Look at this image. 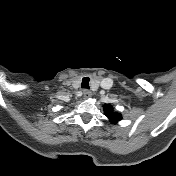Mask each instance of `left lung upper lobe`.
<instances>
[{
  "instance_id": "left-lung-upper-lobe-1",
  "label": "left lung upper lobe",
  "mask_w": 176,
  "mask_h": 176,
  "mask_svg": "<svg viewBox=\"0 0 176 176\" xmlns=\"http://www.w3.org/2000/svg\"><path fill=\"white\" fill-rule=\"evenodd\" d=\"M106 115L112 123H117L121 120V115L119 113L112 112V108L109 105H104Z\"/></svg>"
}]
</instances>
